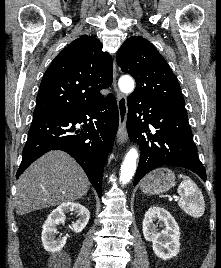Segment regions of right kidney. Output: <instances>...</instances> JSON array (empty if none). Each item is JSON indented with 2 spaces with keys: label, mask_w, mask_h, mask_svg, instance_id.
Here are the masks:
<instances>
[{
  "label": "right kidney",
  "mask_w": 221,
  "mask_h": 268,
  "mask_svg": "<svg viewBox=\"0 0 221 268\" xmlns=\"http://www.w3.org/2000/svg\"><path fill=\"white\" fill-rule=\"evenodd\" d=\"M69 212H74L78 216V220L73 223L70 228L75 233L81 232L88 224L90 213L86 207L80 203H62L49 214L47 220L43 224L41 239L46 251H60L66 244L67 237L56 239L55 234L57 233V226L64 222L65 214Z\"/></svg>",
  "instance_id": "1"
}]
</instances>
